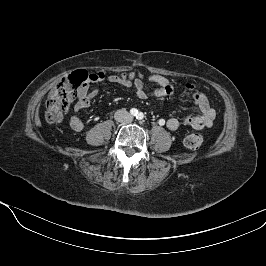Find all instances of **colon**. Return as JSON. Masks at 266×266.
Masks as SVG:
<instances>
[{"mask_svg": "<svg viewBox=\"0 0 266 266\" xmlns=\"http://www.w3.org/2000/svg\"><path fill=\"white\" fill-rule=\"evenodd\" d=\"M133 75H127L124 78L129 80ZM93 80V73L84 70H78L62 79V81L53 88L46 100L45 118L51 124H58L63 120L64 114L76 99L81 88ZM204 135L201 132L189 134L185 138V146L192 150L201 147Z\"/></svg>", "mask_w": 266, "mask_h": 266, "instance_id": "obj_1", "label": "colon"}]
</instances>
